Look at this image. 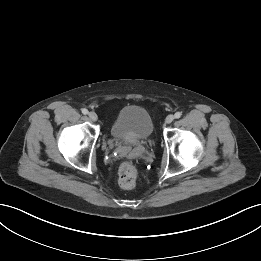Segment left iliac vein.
Listing matches in <instances>:
<instances>
[{"label":"left iliac vein","mask_w":261,"mask_h":261,"mask_svg":"<svg viewBox=\"0 0 261 261\" xmlns=\"http://www.w3.org/2000/svg\"><path fill=\"white\" fill-rule=\"evenodd\" d=\"M174 118L175 117L173 115H168L165 119V122L169 124L174 120Z\"/></svg>","instance_id":"4c4485c4"}]
</instances>
